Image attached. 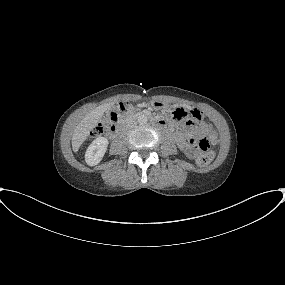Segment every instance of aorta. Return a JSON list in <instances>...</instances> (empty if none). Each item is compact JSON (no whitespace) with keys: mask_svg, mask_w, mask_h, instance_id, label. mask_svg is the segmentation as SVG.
<instances>
[{"mask_svg":"<svg viewBox=\"0 0 285 285\" xmlns=\"http://www.w3.org/2000/svg\"><path fill=\"white\" fill-rule=\"evenodd\" d=\"M147 121H148V118H147V116L146 115H144V114H141L139 117H138V122H139V124H146L147 123Z\"/></svg>","mask_w":285,"mask_h":285,"instance_id":"762f6f07","label":"aorta"}]
</instances>
